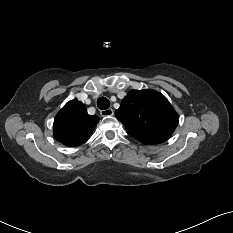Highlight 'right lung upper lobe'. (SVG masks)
<instances>
[{
    "label": "right lung upper lobe",
    "mask_w": 233,
    "mask_h": 233,
    "mask_svg": "<svg viewBox=\"0 0 233 233\" xmlns=\"http://www.w3.org/2000/svg\"><path fill=\"white\" fill-rule=\"evenodd\" d=\"M98 122V116L89 115L83 103L71 100L54 119V137L66 146H78L89 139Z\"/></svg>",
    "instance_id": "cb5924a9"
}]
</instances>
